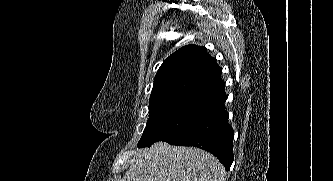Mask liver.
Listing matches in <instances>:
<instances>
[{
  "label": "liver",
  "instance_id": "liver-1",
  "mask_svg": "<svg viewBox=\"0 0 333 181\" xmlns=\"http://www.w3.org/2000/svg\"><path fill=\"white\" fill-rule=\"evenodd\" d=\"M219 160L200 148L157 142L135 154L121 181H225Z\"/></svg>",
  "mask_w": 333,
  "mask_h": 181
}]
</instances>
